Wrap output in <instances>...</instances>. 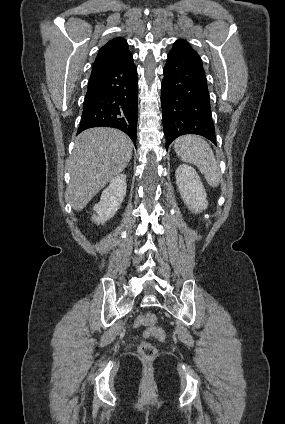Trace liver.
Listing matches in <instances>:
<instances>
[{"instance_id": "liver-1", "label": "liver", "mask_w": 285, "mask_h": 424, "mask_svg": "<svg viewBox=\"0 0 285 424\" xmlns=\"http://www.w3.org/2000/svg\"><path fill=\"white\" fill-rule=\"evenodd\" d=\"M133 151L131 139L107 127L80 133L70 162L68 187L72 207L81 211L106 184L128 165Z\"/></svg>"}]
</instances>
